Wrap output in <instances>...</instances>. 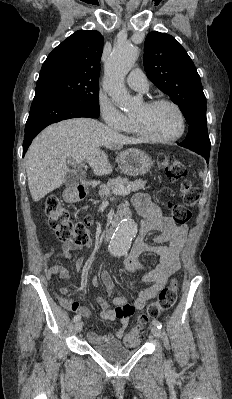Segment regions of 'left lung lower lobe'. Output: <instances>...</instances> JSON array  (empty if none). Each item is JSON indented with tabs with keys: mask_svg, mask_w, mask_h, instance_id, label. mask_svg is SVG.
Returning a JSON list of instances; mask_svg holds the SVG:
<instances>
[{
	"mask_svg": "<svg viewBox=\"0 0 232 399\" xmlns=\"http://www.w3.org/2000/svg\"><path fill=\"white\" fill-rule=\"evenodd\" d=\"M198 154L204 157L207 163L209 162V153L199 152Z\"/></svg>",
	"mask_w": 232,
	"mask_h": 399,
	"instance_id": "0a47b994",
	"label": "left lung lower lobe"
}]
</instances>
